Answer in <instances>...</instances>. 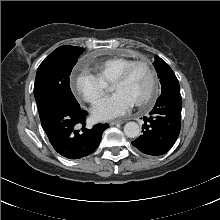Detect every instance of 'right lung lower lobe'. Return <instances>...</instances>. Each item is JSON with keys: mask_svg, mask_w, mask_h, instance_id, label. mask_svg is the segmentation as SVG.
I'll use <instances>...</instances> for the list:
<instances>
[{"mask_svg": "<svg viewBox=\"0 0 220 220\" xmlns=\"http://www.w3.org/2000/svg\"><path fill=\"white\" fill-rule=\"evenodd\" d=\"M86 111L78 106L57 104L40 115L41 125L53 148L68 159H79L93 153L108 124L85 128ZM83 125L80 130L77 128Z\"/></svg>", "mask_w": 220, "mask_h": 220, "instance_id": "right-lung-lower-lobe-1", "label": "right lung lower lobe"}]
</instances>
